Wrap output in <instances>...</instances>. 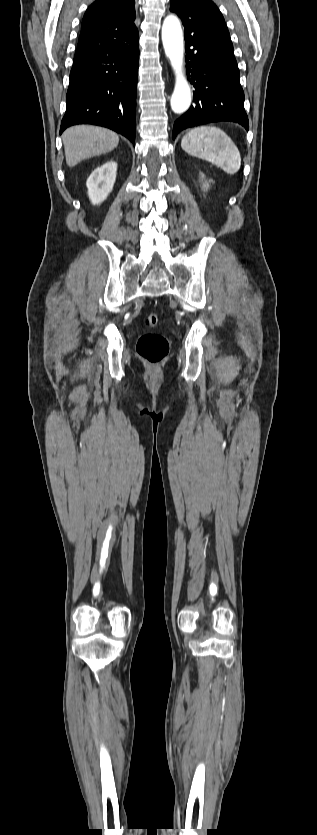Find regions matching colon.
<instances>
[{
  "label": "colon",
  "instance_id": "1",
  "mask_svg": "<svg viewBox=\"0 0 317 835\" xmlns=\"http://www.w3.org/2000/svg\"><path fill=\"white\" fill-rule=\"evenodd\" d=\"M145 323L149 327H155L159 323V316L156 313H150ZM168 351V341L160 334H144L137 343L138 355L151 365H159L167 356Z\"/></svg>",
  "mask_w": 317,
  "mask_h": 835
}]
</instances>
